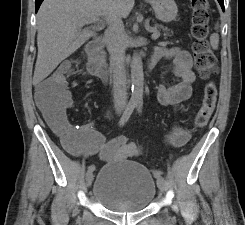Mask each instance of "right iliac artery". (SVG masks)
Instances as JSON below:
<instances>
[{
	"instance_id": "1",
	"label": "right iliac artery",
	"mask_w": 245,
	"mask_h": 225,
	"mask_svg": "<svg viewBox=\"0 0 245 225\" xmlns=\"http://www.w3.org/2000/svg\"><path fill=\"white\" fill-rule=\"evenodd\" d=\"M136 107V103L133 101H130L125 109V111L123 112L120 120H119V127H123L125 125V123L129 120L131 114L133 113V110ZM95 170V165H90L88 167V171H94Z\"/></svg>"
}]
</instances>
